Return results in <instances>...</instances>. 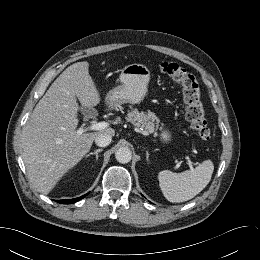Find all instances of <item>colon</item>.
<instances>
[{
    "mask_svg": "<svg viewBox=\"0 0 260 260\" xmlns=\"http://www.w3.org/2000/svg\"><path fill=\"white\" fill-rule=\"evenodd\" d=\"M163 74L181 86L183 100L186 105V119L197 135L203 140H209L211 131L201 100L200 85L195 76L173 62H164L160 66Z\"/></svg>",
    "mask_w": 260,
    "mask_h": 260,
    "instance_id": "colon-1",
    "label": "colon"
}]
</instances>
